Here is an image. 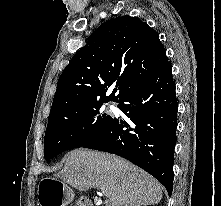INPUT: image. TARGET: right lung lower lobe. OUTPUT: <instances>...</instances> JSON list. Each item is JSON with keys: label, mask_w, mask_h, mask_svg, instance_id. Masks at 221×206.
Returning <instances> with one entry per match:
<instances>
[{"label": "right lung lower lobe", "mask_w": 221, "mask_h": 206, "mask_svg": "<svg viewBox=\"0 0 221 206\" xmlns=\"http://www.w3.org/2000/svg\"><path fill=\"white\" fill-rule=\"evenodd\" d=\"M118 108L127 119L113 118L82 147L126 158L153 175L170 196L178 111L171 62L129 91Z\"/></svg>", "instance_id": "98d812e1"}]
</instances>
